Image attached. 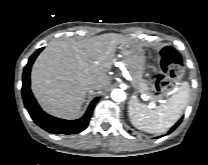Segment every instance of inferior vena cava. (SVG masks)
Masks as SVG:
<instances>
[{"label":"inferior vena cava","instance_id":"1","mask_svg":"<svg viewBox=\"0 0 208 165\" xmlns=\"http://www.w3.org/2000/svg\"><path fill=\"white\" fill-rule=\"evenodd\" d=\"M98 89H99V87L96 86V85H90V86L87 87L88 91H93V90H98Z\"/></svg>","mask_w":208,"mask_h":165}]
</instances>
